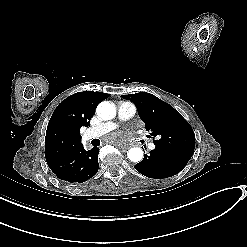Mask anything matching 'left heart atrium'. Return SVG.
<instances>
[{"instance_id": "1", "label": "left heart atrium", "mask_w": 247, "mask_h": 247, "mask_svg": "<svg viewBox=\"0 0 247 247\" xmlns=\"http://www.w3.org/2000/svg\"><path fill=\"white\" fill-rule=\"evenodd\" d=\"M99 135L101 134H98V136ZM132 136H133V131L125 130L121 128L111 134L103 135L102 139L104 143L122 146V145H126Z\"/></svg>"}]
</instances>
